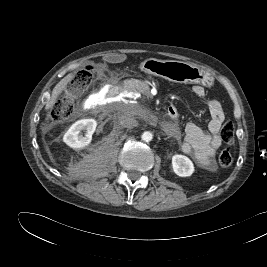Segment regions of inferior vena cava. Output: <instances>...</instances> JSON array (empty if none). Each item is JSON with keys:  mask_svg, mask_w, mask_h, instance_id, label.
<instances>
[{"mask_svg": "<svg viewBox=\"0 0 267 267\" xmlns=\"http://www.w3.org/2000/svg\"><path fill=\"white\" fill-rule=\"evenodd\" d=\"M119 124L124 128H134L138 126V121L135 120L130 114H123L119 117Z\"/></svg>", "mask_w": 267, "mask_h": 267, "instance_id": "inferior-vena-cava-1", "label": "inferior vena cava"}]
</instances>
